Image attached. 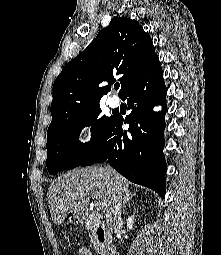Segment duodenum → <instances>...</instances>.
<instances>
[{
  "label": "duodenum",
  "instance_id": "410a0bca",
  "mask_svg": "<svg viewBox=\"0 0 221 255\" xmlns=\"http://www.w3.org/2000/svg\"><path fill=\"white\" fill-rule=\"evenodd\" d=\"M79 219L82 222L89 223L94 227V232L98 244L103 246L104 255H119L114 246L108 245L106 242L105 228L100 221L89 212H82L79 214Z\"/></svg>",
  "mask_w": 221,
  "mask_h": 255
}]
</instances>
